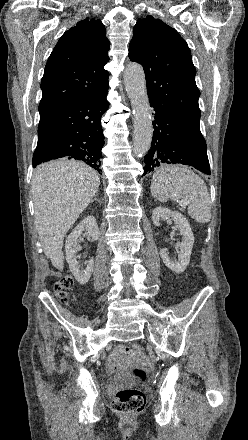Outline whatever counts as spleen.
<instances>
[{
  "instance_id": "obj_1",
  "label": "spleen",
  "mask_w": 248,
  "mask_h": 440,
  "mask_svg": "<svg viewBox=\"0 0 248 440\" xmlns=\"http://www.w3.org/2000/svg\"><path fill=\"white\" fill-rule=\"evenodd\" d=\"M151 194L160 202L169 198L188 204V214L198 223L211 220V201L204 181L189 168L181 165L160 167L151 181Z\"/></svg>"
}]
</instances>
